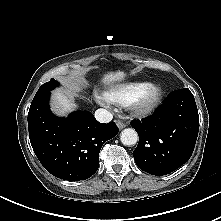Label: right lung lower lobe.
Returning <instances> with one entry per match:
<instances>
[{"instance_id": "1", "label": "right lung lower lobe", "mask_w": 221, "mask_h": 221, "mask_svg": "<svg viewBox=\"0 0 221 221\" xmlns=\"http://www.w3.org/2000/svg\"><path fill=\"white\" fill-rule=\"evenodd\" d=\"M50 92L35 96L28 112L29 138L45 169L60 179L85 180L99 166V152L118 133L114 122L99 123L92 113L77 111L67 118L49 109Z\"/></svg>"}]
</instances>
